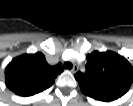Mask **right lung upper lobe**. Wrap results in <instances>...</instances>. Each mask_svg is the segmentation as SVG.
Here are the masks:
<instances>
[{"instance_id": "1", "label": "right lung upper lobe", "mask_w": 133, "mask_h": 106, "mask_svg": "<svg viewBox=\"0 0 133 106\" xmlns=\"http://www.w3.org/2000/svg\"><path fill=\"white\" fill-rule=\"evenodd\" d=\"M62 72L60 63L50 66L40 52L24 54L14 58L7 65L5 82L15 94L28 97L52 86L56 77Z\"/></svg>"}]
</instances>
